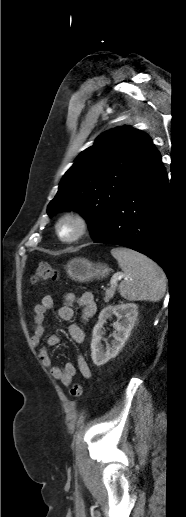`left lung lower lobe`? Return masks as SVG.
Here are the masks:
<instances>
[{"instance_id":"left-lung-lower-lobe-1","label":"left lung lower lobe","mask_w":186,"mask_h":517,"mask_svg":"<svg viewBox=\"0 0 186 517\" xmlns=\"http://www.w3.org/2000/svg\"><path fill=\"white\" fill-rule=\"evenodd\" d=\"M167 179L158 155L111 209L93 239L95 243L117 244L143 253L157 262L168 276Z\"/></svg>"}]
</instances>
